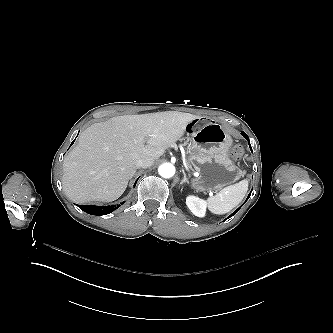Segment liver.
Here are the masks:
<instances>
[{
    "instance_id": "1",
    "label": "liver",
    "mask_w": 333,
    "mask_h": 333,
    "mask_svg": "<svg viewBox=\"0 0 333 333\" xmlns=\"http://www.w3.org/2000/svg\"><path fill=\"white\" fill-rule=\"evenodd\" d=\"M198 118L167 111L118 116L93 124L64 159L65 194L79 204L118 199L136 172L137 161L158 160L166 149L183 140L187 126Z\"/></svg>"
}]
</instances>
